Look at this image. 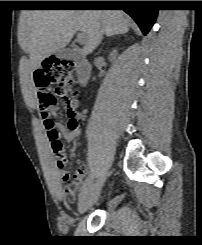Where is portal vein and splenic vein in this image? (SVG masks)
<instances>
[{"label":"portal vein and splenic vein","mask_w":202,"mask_h":245,"mask_svg":"<svg viewBox=\"0 0 202 245\" xmlns=\"http://www.w3.org/2000/svg\"><path fill=\"white\" fill-rule=\"evenodd\" d=\"M85 38H86V36H85V33H83V32H81L77 35V40L79 43H85Z\"/></svg>","instance_id":"18ae733b"}]
</instances>
